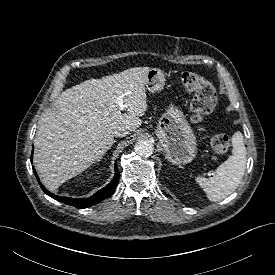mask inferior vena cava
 Listing matches in <instances>:
<instances>
[{"mask_svg": "<svg viewBox=\"0 0 275 275\" xmlns=\"http://www.w3.org/2000/svg\"><path fill=\"white\" fill-rule=\"evenodd\" d=\"M129 133L128 130L120 129L114 133L115 137H124Z\"/></svg>", "mask_w": 275, "mask_h": 275, "instance_id": "obj_1", "label": "inferior vena cava"}]
</instances>
